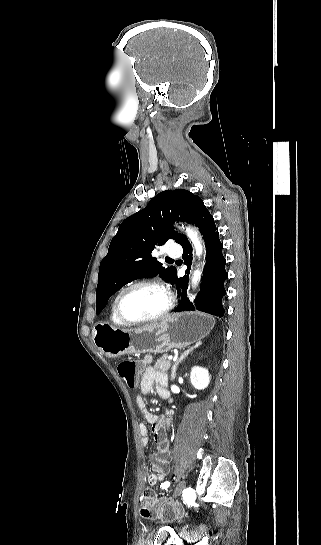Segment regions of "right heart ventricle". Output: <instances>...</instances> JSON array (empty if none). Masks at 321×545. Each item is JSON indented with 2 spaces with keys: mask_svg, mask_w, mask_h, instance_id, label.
<instances>
[{
  "mask_svg": "<svg viewBox=\"0 0 321 545\" xmlns=\"http://www.w3.org/2000/svg\"><path fill=\"white\" fill-rule=\"evenodd\" d=\"M109 320L111 322V324L115 327H122L123 324L119 321V319L117 318L116 316V312H115V298L112 300L111 304H110V309H109Z\"/></svg>",
  "mask_w": 321,
  "mask_h": 545,
  "instance_id": "1",
  "label": "right heart ventricle"
}]
</instances>
